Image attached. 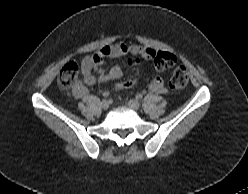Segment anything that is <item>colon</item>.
<instances>
[{"instance_id": "1", "label": "colon", "mask_w": 248, "mask_h": 194, "mask_svg": "<svg viewBox=\"0 0 248 194\" xmlns=\"http://www.w3.org/2000/svg\"><path fill=\"white\" fill-rule=\"evenodd\" d=\"M155 67L159 71L171 70L170 86L173 89L184 88L189 81L187 70L182 66L175 67V57L163 51L155 52L154 55ZM79 79V66L75 61L67 62L59 75L60 88L67 90L73 87ZM134 81H122L115 84L116 89H125L133 86Z\"/></svg>"}]
</instances>
